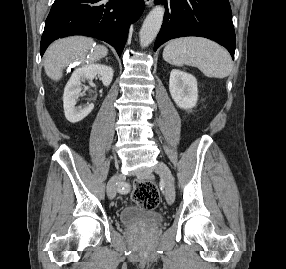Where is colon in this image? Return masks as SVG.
<instances>
[{"instance_id": "obj_1", "label": "colon", "mask_w": 286, "mask_h": 269, "mask_svg": "<svg viewBox=\"0 0 286 269\" xmlns=\"http://www.w3.org/2000/svg\"><path fill=\"white\" fill-rule=\"evenodd\" d=\"M133 201L144 209H154L160 203L156 186L149 181H139L133 194Z\"/></svg>"}]
</instances>
